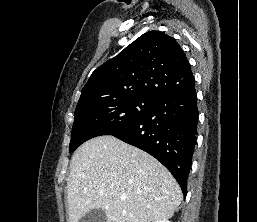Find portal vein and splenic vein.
Instances as JSON below:
<instances>
[{
  "label": "portal vein and splenic vein",
  "mask_w": 257,
  "mask_h": 222,
  "mask_svg": "<svg viewBox=\"0 0 257 222\" xmlns=\"http://www.w3.org/2000/svg\"><path fill=\"white\" fill-rule=\"evenodd\" d=\"M126 197H127V196H126L125 194H122V195H121V199H126Z\"/></svg>",
  "instance_id": "1"
}]
</instances>
